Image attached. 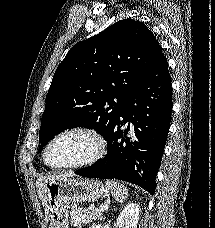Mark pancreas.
I'll return each mask as SVG.
<instances>
[{
  "mask_svg": "<svg viewBox=\"0 0 215 228\" xmlns=\"http://www.w3.org/2000/svg\"><path fill=\"white\" fill-rule=\"evenodd\" d=\"M102 214L103 210H101V208H90V210H86V208H76V206H72L70 224L73 228H81L82 224H90V222L101 218Z\"/></svg>",
  "mask_w": 215,
  "mask_h": 228,
  "instance_id": "obj_1",
  "label": "pancreas"
}]
</instances>
